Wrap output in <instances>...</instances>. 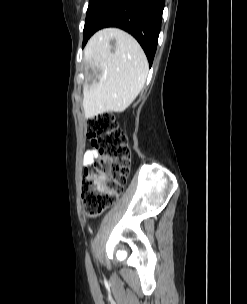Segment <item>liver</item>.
<instances>
[{"mask_svg": "<svg viewBox=\"0 0 247 304\" xmlns=\"http://www.w3.org/2000/svg\"><path fill=\"white\" fill-rule=\"evenodd\" d=\"M115 39L114 47L110 40ZM87 64L99 72L98 82L83 88L86 119L105 112H122L144 86L148 62L139 43L117 28L95 33L84 49Z\"/></svg>", "mask_w": 247, "mask_h": 304, "instance_id": "1", "label": "liver"}]
</instances>
